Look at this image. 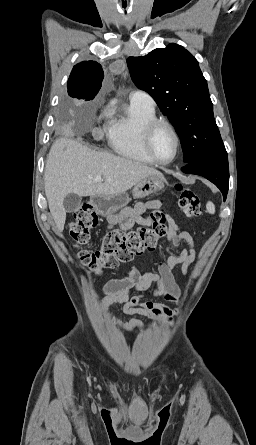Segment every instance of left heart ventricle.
<instances>
[{
    "instance_id": "b2bd125f",
    "label": "left heart ventricle",
    "mask_w": 256,
    "mask_h": 445,
    "mask_svg": "<svg viewBox=\"0 0 256 445\" xmlns=\"http://www.w3.org/2000/svg\"><path fill=\"white\" fill-rule=\"evenodd\" d=\"M153 149L156 156L164 161L170 160L176 150V142L170 130L164 126L156 129L153 135Z\"/></svg>"
}]
</instances>
